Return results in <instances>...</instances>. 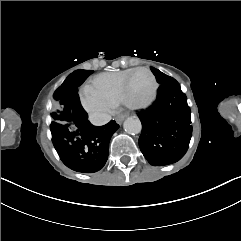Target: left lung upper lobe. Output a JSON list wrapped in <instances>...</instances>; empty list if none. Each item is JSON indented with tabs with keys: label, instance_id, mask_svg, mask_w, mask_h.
Segmentation results:
<instances>
[{
	"label": "left lung upper lobe",
	"instance_id": "1",
	"mask_svg": "<svg viewBox=\"0 0 241 241\" xmlns=\"http://www.w3.org/2000/svg\"><path fill=\"white\" fill-rule=\"evenodd\" d=\"M151 70L154 73V75L156 76L157 82L160 83V84H164V83H167L171 80H174L172 77L167 76L166 74L162 73L158 69H155V68L151 67Z\"/></svg>",
	"mask_w": 241,
	"mask_h": 241
}]
</instances>
